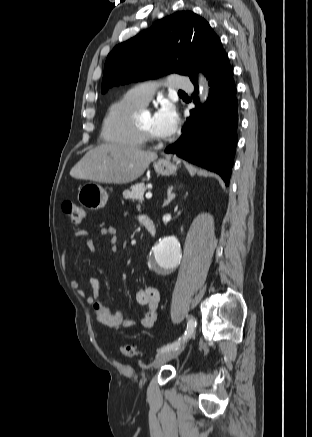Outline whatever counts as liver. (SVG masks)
Returning a JSON list of instances; mask_svg holds the SVG:
<instances>
[{"instance_id":"1","label":"liver","mask_w":312,"mask_h":437,"mask_svg":"<svg viewBox=\"0 0 312 437\" xmlns=\"http://www.w3.org/2000/svg\"><path fill=\"white\" fill-rule=\"evenodd\" d=\"M157 157L156 152L134 146L100 144L84 155L71 169L70 175L94 182L126 184L140 177Z\"/></svg>"}]
</instances>
